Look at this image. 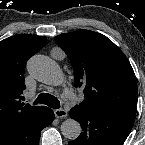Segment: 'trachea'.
I'll return each instance as SVG.
<instances>
[{
    "mask_svg": "<svg viewBox=\"0 0 145 145\" xmlns=\"http://www.w3.org/2000/svg\"><path fill=\"white\" fill-rule=\"evenodd\" d=\"M38 103L45 104L54 109L60 108L59 100L56 97H54L53 95H50L48 93H41L37 97V99L34 101V105H36Z\"/></svg>",
    "mask_w": 145,
    "mask_h": 145,
    "instance_id": "3493384b",
    "label": "trachea"
}]
</instances>
